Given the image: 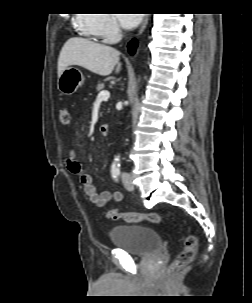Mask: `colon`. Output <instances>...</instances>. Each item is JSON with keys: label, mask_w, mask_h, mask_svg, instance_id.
<instances>
[{"label": "colon", "mask_w": 252, "mask_h": 303, "mask_svg": "<svg viewBox=\"0 0 252 303\" xmlns=\"http://www.w3.org/2000/svg\"><path fill=\"white\" fill-rule=\"evenodd\" d=\"M59 121L62 125L70 124V114L66 108H61L59 111ZM107 218L110 220L123 219L126 222H150L158 224L162 218L157 213H137V212H121L112 209L107 213ZM197 252V240L194 237L186 238L183 248L176 255L174 261L169 267L170 275L176 274L181 268L188 265L195 257Z\"/></svg>", "instance_id": "5ec220e1"}]
</instances>
